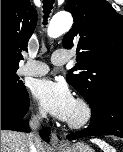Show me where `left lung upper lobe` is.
<instances>
[{"instance_id": "left-lung-upper-lobe-1", "label": "left lung upper lobe", "mask_w": 123, "mask_h": 152, "mask_svg": "<svg viewBox=\"0 0 123 152\" xmlns=\"http://www.w3.org/2000/svg\"><path fill=\"white\" fill-rule=\"evenodd\" d=\"M65 9L74 24L63 46L76 49L78 62L68 83L90 105L105 93L123 92V16L105 0H68Z\"/></svg>"}]
</instances>
